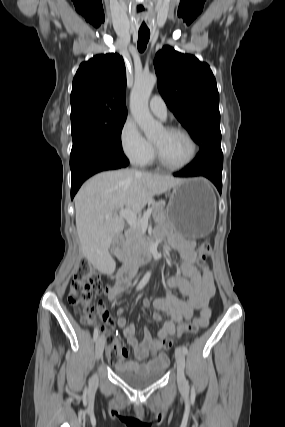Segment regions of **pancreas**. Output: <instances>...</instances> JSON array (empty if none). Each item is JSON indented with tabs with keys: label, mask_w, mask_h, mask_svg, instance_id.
I'll return each mask as SVG.
<instances>
[{
	"label": "pancreas",
	"mask_w": 285,
	"mask_h": 427,
	"mask_svg": "<svg viewBox=\"0 0 285 427\" xmlns=\"http://www.w3.org/2000/svg\"><path fill=\"white\" fill-rule=\"evenodd\" d=\"M165 205L163 203H154L152 209V218L156 223H166ZM144 241L143 230L139 226L131 227L125 234L124 247L127 254H132L136 249L140 248Z\"/></svg>",
	"instance_id": "obj_1"
}]
</instances>
